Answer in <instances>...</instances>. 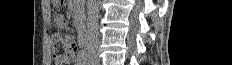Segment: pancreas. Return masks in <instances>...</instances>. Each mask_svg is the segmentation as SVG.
<instances>
[{
  "mask_svg": "<svg viewBox=\"0 0 232 65\" xmlns=\"http://www.w3.org/2000/svg\"><path fill=\"white\" fill-rule=\"evenodd\" d=\"M73 2H75V1H73ZM71 9H72L73 13H76V15H75L76 22H79L80 16H81L80 11L76 10V8L74 6H72ZM78 29H81V26H79Z\"/></svg>",
  "mask_w": 232,
  "mask_h": 65,
  "instance_id": "obj_1",
  "label": "pancreas"
}]
</instances>
